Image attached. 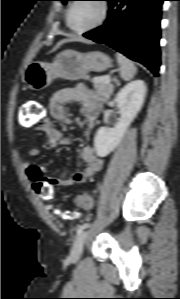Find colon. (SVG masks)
Listing matches in <instances>:
<instances>
[{
    "label": "colon",
    "mask_w": 180,
    "mask_h": 299,
    "mask_svg": "<svg viewBox=\"0 0 180 299\" xmlns=\"http://www.w3.org/2000/svg\"><path fill=\"white\" fill-rule=\"evenodd\" d=\"M94 1V0H92ZM47 116L46 109L43 105L38 103H29L22 109V124L32 125L40 121H43ZM33 189L35 193L42 200H51L54 196L53 184L49 182L38 181L33 184ZM77 205L80 208L86 209L90 206V198L86 195H82L77 199ZM60 215L66 219H73L76 214H71L69 212L60 213Z\"/></svg>",
    "instance_id": "5ec220e1"
}]
</instances>
